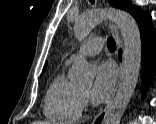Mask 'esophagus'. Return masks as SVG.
Segmentation results:
<instances>
[{"mask_svg": "<svg viewBox=\"0 0 156 124\" xmlns=\"http://www.w3.org/2000/svg\"><path fill=\"white\" fill-rule=\"evenodd\" d=\"M107 25L116 41V53L117 55L119 54V51L122 47V41H121V37L118 31L117 26L111 22V21H107ZM113 102V97L108 101L107 105L105 106V108L103 110H101L97 116L94 118V120L92 121V124H103L105 121V118L111 108Z\"/></svg>", "mask_w": 156, "mask_h": 124, "instance_id": "esophagus-1", "label": "esophagus"}]
</instances>
